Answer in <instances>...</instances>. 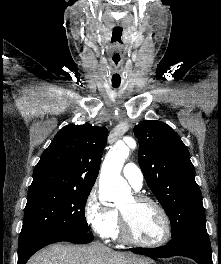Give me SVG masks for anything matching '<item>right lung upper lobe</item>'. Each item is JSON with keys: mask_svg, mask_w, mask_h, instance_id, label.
Wrapping results in <instances>:
<instances>
[{"mask_svg": "<svg viewBox=\"0 0 221 264\" xmlns=\"http://www.w3.org/2000/svg\"><path fill=\"white\" fill-rule=\"evenodd\" d=\"M107 134L105 127L90 124L62 128L41 155L29 191L48 187L92 189Z\"/></svg>", "mask_w": 221, "mask_h": 264, "instance_id": "1", "label": "right lung upper lobe"}]
</instances>
